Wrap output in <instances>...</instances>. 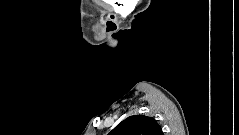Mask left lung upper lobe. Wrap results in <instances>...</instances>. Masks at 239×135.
Wrapping results in <instances>:
<instances>
[{
  "instance_id": "5c2ea615",
  "label": "left lung upper lobe",
  "mask_w": 239,
  "mask_h": 135,
  "mask_svg": "<svg viewBox=\"0 0 239 135\" xmlns=\"http://www.w3.org/2000/svg\"><path fill=\"white\" fill-rule=\"evenodd\" d=\"M108 135H163V132L154 118L134 115L119 123Z\"/></svg>"
}]
</instances>
